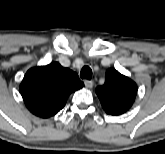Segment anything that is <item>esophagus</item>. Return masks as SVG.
Instances as JSON below:
<instances>
[{
    "mask_svg": "<svg viewBox=\"0 0 165 154\" xmlns=\"http://www.w3.org/2000/svg\"><path fill=\"white\" fill-rule=\"evenodd\" d=\"M84 84L87 88H92L93 87V81H91V80H85Z\"/></svg>",
    "mask_w": 165,
    "mask_h": 154,
    "instance_id": "34e87169",
    "label": "esophagus"
}]
</instances>
